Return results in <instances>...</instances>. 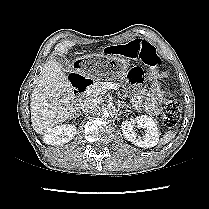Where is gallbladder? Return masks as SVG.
<instances>
[{
    "label": "gallbladder",
    "mask_w": 209,
    "mask_h": 209,
    "mask_svg": "<svg viewBox=\"0 0 209 209\" xmlns=\"http://www.w3.org/2000/svg\"><path fill=\"white\" fill-rule=\"evenodd\" d=\"M54 58L56 59V61L63 67V68H67L69 66V62L67 61V59L62 56V55H56L54 56Z\"/></svg>",
    "instance_id": "obj_1"
}]
</instances>
